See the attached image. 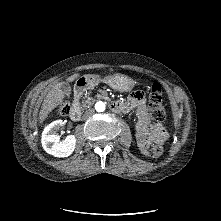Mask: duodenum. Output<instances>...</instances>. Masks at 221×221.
Instances as JSON below:
<instances>
[{
	"label": "duodenum",
	"instance_id": "410a0bca",
	"mask_svg": "<svg viewBox=\"0 0 221 221\" xmlns=\"http://www.w3.org/2000/svg\"><path fill=\"white\" fill-rule=\"evenodd\" d=\"M92 84V80L89 78L81 79L75 88V101L70 110V118L74 121L79 120L81 117V107L79 99L83 95L85 89ZM109 107L113 112H127L129 110L128 105L118 100H112L109 102Z\"/></svg>",
	"mask_w": 221,
	"mask_h": 221
}]
</instances>
